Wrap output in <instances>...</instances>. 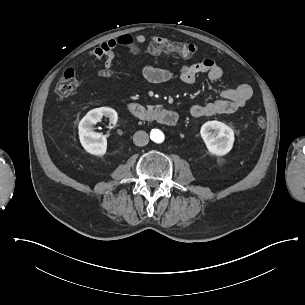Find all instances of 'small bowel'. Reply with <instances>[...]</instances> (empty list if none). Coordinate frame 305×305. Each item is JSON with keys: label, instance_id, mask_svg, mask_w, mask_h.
<instances>
[{"label": "small bowel", "instance_id": "obj_1", "mask_svg": "<svg viewBox=\"0 0 305 305\" xmlns=\"http://www.w3.org/2000/svg\"><path fill=\"white\" fill-rule=\"evenodd\" d=\"M115 44V39L109 37L105 42L101 43L100 46L95 47L93 50L94 55L97 57L105 55V63L103 64L105 69H108L111 66V63L109 62H111V58L116 54V51L112 49ZM87 56H90V53H87ZM200 74H206L211 81L216 82L222 78L223 69L212 58H205L199 62L184 66L180 70L178 77L183 83L190 85L196 81ZM142 75L148 82L153 84L167 83L175 77L174 73L170 70L151 65L143 68ZM252 94L253 90L249 84L239 83L233 88L222 91V98L219 100L205 104L192 105L190 114L195 118H199L221 113H230L242 108L252 97Z\"/></svg>", "mask_w": 305, "mask_h": 305}]
</instances>
